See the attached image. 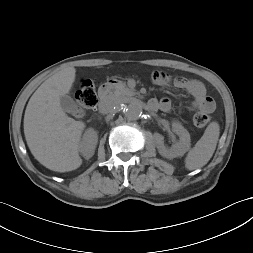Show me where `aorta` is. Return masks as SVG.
Segmentation results:
<instances>
[{"instance_id":"1","label":"aorta","mask_w":253,"mask_h":253,"mask_svg":"<svg viewBox=\"0 0 253 253\" xmlns=\"http://www.w3.org/2000/svg\"><path fill=\"white\" fill-rule=\"evenodd\" d=\"M143 114V107L139 102H131L124 108V115L128 120H138Z\"/></svg>"}]
</instances>
